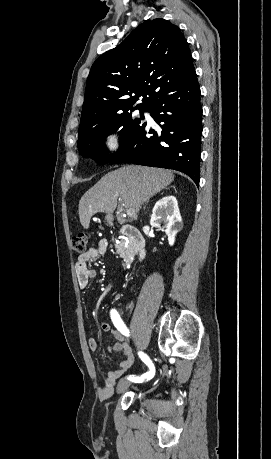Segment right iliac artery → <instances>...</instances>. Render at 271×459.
Here are the masks:
<instances>
[{"label":"right iliac artery","mask_w":271,"mask_h":459,"mask_svg":"<svg viewBox=\"0 0 271 459\" xmlns=\"http://www.w3.org/2000/svg\"><path fill=\"white\" fill-rule=\"evenodd\" d=\"M111 319L114 326L125 336H129V329L126 327L120 315L115 309L111 310ZM141 360L149 367L146 373H138V377L134 375H130L128 379L133 382H150V378H153V373L156 370L155 364L152 363L150 358L143 352L138 353Z\"/></svg>","instance_id":"right-iliac-artery-1"}]
</instances>
